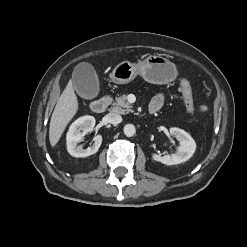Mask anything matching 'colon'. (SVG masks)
Returning <instances> with one entry per match:
<instances>
[{
  "instance_id": "obj_1",
  "label": "colon",
  "mask_w": 247,
  "mask_h": 247,
  "mask_svg": "<svg viewBox=\"0 0 247 247\" xmlns=\"http://www.w3.org/2000/svg\"><path fill=\"white\" fill-rule=\"evenodd\" d=\"M180 90L183 95L185 106L189 113H194L195 108L193 104L192 89L189 81L185 78L180 80Z\"/></svg>"
}]
</instances>
